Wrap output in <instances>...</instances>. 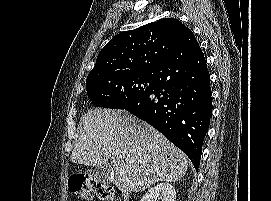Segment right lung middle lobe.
Wrapping results in <instances>:
<instances>
[{"instance_id":"1","label":"right lung middle lobe","mask_w":271,"mask_h":201,"mask_svg":"<svg viewBox=\"0 0 271 201\" xmlns=\"http://www.w3.org/2000/svg\"><path fill=\"white\" fill-rule=\"evenodd\" d=\"M153 73H120L87 78L89 99L99 107L119 109L152 86Z\"/></svg>"}]
</instances>
